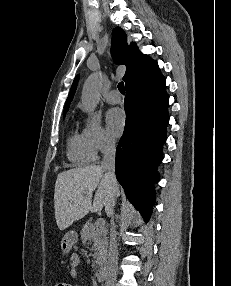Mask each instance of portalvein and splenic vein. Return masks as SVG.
<instances>
[{"instance_id":"obj_1","label":"portal vein and splenic vein","mask_w":231,"mask_h":286,"mask_svg":"<svg viewBox=\"0 0 231 286\" xmlns=\"http://www.w3.org/2000/svg\"><path fill=\"white\" fill-rule=\"evenodd\" d=\"M96 227L102 228L105 226V220L103 218H99L95 222Z\"/></svg>"}]
</instances>
